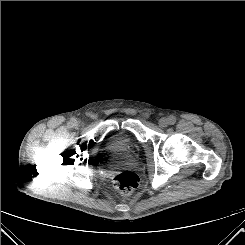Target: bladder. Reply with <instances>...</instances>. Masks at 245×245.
I'll return each instance as SVG.
<instances>
[{
    "mask_svg": "<svg viewBox=\"0 0 245 245\" xmlns=\"http://www.w3.org/2000/svg\"><path fill=\"white\" fill-rule=\"evenodd\" d=\"M136 146L137 142L130 132H121L111 138L108 149L116 154H127L134 151Z\"/></svg>",
    "mask_w": 245,
    "mask_h": 245,
    "instance_id": "31cf9c89",
    "label": "bladder"
}]
</instances>
